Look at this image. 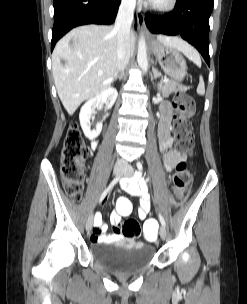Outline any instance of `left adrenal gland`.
Instances as JSON below:
<instances>
[{"mask_svg": "<svg viewBox=\"0 0 247 304\" xmlns=\"http://www.w3.org/2000/svg\"><path fill=\"white\" fill-rule=\"evenodd\" d=\"M152 71H153V77H154V79L161 78L160 82H158L157 85H156L157 90H160L161 85H162V81H163L161 73L155 67L152 68Z\"/></svg>", "mask_w": 247, "mask_h": 304, "instance_id": "left-adrenal-gland-1", "label": "left adrenal gland"}]
</instances>
